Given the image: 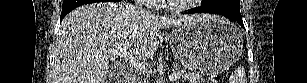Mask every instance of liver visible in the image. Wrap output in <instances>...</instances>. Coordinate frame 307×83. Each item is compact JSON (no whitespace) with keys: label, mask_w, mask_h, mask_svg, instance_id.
<instances>
[{"label":"liver","mask_w":307,"mask_h":83,"mask_svg":"<svg viewBox=\"0 0 307 83\" xmlns=\"http://www.w3.org/2000/svg\"><path fill=\"white\" fill-rule=\"evenodd\" d=\"M204 19L221 18L208 14L160 17L126 3L79 6L62 20L52 83H108L107 50L122 49L138 60H147L158 48L159 29Z\"/></svg>","instance_id":"1"}]
</instances>
